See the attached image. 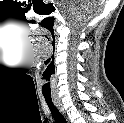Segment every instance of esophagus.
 Listing matches in <instances>:
<instances>
[{
    "label": "esophagus",
    "mask_w": 124,
    "mask_h": 123,
    "mask_svg": "<svg viewBox=\"0 0 124 123\" xmlns=\"http://www.w3.org/2000/svg\"><path fill=\"white\" fill-rule=\"evenodd\" d=\"M57 106H58L59 110H60L62 113H64L62 107H61L59 104H57Z\"/></svg>",
    "instance_id": "1"
}]
</instances>
